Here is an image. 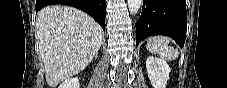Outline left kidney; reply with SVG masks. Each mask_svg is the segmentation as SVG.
<instances>
[{
  "label": "left kidney",
  "mask_w": 227,
  "mask_h": 88,
  "mask_svg": "<svg viewBox=\"0 0 227 88\" xmlns=\"http://www.w3.org/2000/svg\"><path fill=\"white\" fill-rule=\"evenodd\" d=\"M148 77L154 88H165L169 79L170 67L163 59L148 57L146 61Z\"/></svg>",
  "instance_id": "1"
}]
</instances>
